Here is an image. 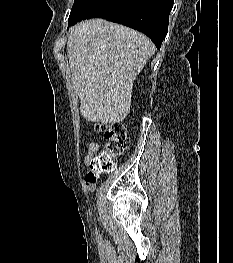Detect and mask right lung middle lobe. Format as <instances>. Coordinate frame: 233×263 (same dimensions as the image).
I'll return each mask as SVG.
<instances>
[{"label": "right lung middle lobe", "mask_w": 233, "mask_h": 263, "mask_svg": "<svg viewBox=\"0 0 233 263\" xmlns=\"http://www.w3.org/2000/svg\"><path fill=\"white\" fill-rule=\"evenodd\" d=\"M123 0H74L68 26L77 22L94 17L109 16Z\"/></svg>", "instance_id": "dd1d6c3e"}]
</instances>
